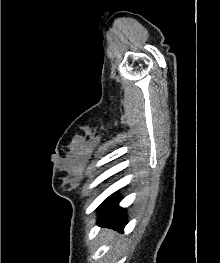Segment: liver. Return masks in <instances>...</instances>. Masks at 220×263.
Listing matches in <instances>:
<instances>
[{"instance_id":"1","label":"liver","mask_w":220,"mask_h":263,"mask_svg":"<svg viewBox=\"0 0 220 263\" xmlns=\"http://www.w3.org/2000/svg\"><path fill=\"white\" fill-rule=\"evenodd\" d=\"M107 233H108L109 235H111V237L113 236V234H112L111 231L108 230Z\"/></svg>"}]
</instances>
